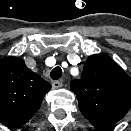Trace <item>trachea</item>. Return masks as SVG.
Masks as SVG:
<instances>
[{
  "label": "trachea",
  "mask_w": 131,
  "mask_h": 131,
  "mask_svg": "<svg viewBox=\"0 0 131 131\" xmlns=\"http://www.w3.org/2000/svg\"><path fill=\"white\" fill-rule=\"evenodd\" d=\"M53 80H58L62 76V69L60 67H55L50 74Z\"/></svg>",
  "instance_id": "3493384b"
}]
</instances>
